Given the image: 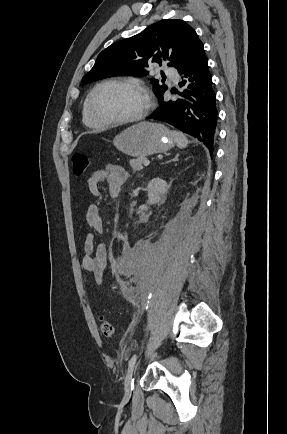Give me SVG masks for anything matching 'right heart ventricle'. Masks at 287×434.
Returning <instances> with one entry per match:
<instances>
[{
	"label": "right heart ventricle",
	"instance_id": "1",
	"mask_svg": "<svg viewBox=\"0 0 287 434\" xmlns=\"http://www.w3.org/2000/svg\"><path fill=\"white\" fill-rule=\"evenodd\" d=\"M82 119L85 125L90 127H100L98 123H96L88 114L86 109V102H84L83 109H82Z\"/></svg>",
	"mask_w": 287,
	"mask_h": 434
}]
</instances>
